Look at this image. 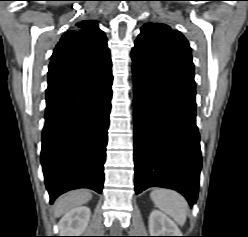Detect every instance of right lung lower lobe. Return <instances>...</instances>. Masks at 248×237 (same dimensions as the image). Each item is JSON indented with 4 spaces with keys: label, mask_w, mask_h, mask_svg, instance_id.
Here are the masks:
<instances>
[{
    "label": "right lung lower lobe",
    "mask_w": 248,
    "mask_h": 237,
    "mask_svg": "<svg viewBox=\"0 0 248 237\" xmlns=\"http://www.w3.org/2000/svg\"><path fill=\"white\" fill-rule=\"evenodd\" d=\"M112 71L46 91L41 163L50 203L62 193H101L112 98Z\"/></svg>",
    "instance_id": "1"
}]
</instances>
